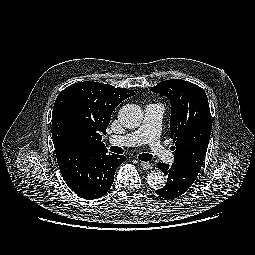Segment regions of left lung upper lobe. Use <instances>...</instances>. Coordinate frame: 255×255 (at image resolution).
Returning a JSON list of instances; mask_svg holds the SVG:
<instances>
[{
    "mask_svg": "<svg viewBox=\"0 0 255 255\" xmlns=\"http://www.w3.org/2000/svg\"><path fill=\"white\" fill-rule=\"evenodd\" d=\"M152 91L163 94L171 103L174 161L200 172L212 129L206 93L198 85L181 79L162 81Z\"/></svg>",
    "mask_w": 255,
    "mask_h": 255,
    "instance_id": "obj_1",
    "label": "left lung upper lobe"
}]
</instances>
